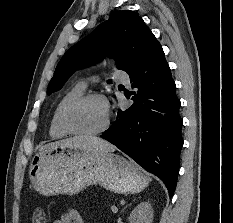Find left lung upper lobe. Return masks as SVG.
<instances>
[{
    "label": "left lung upper lobe",
    "instance_id": "1",
    "mask_svg": "<svg viewBox=\"0 0 233 223\" xmlns=\"http://www.w3.org/2000/svg\"><path fill=\"white\" fill-rule=\"evenodd\" d=\"M155 41V36L140 16L132 11L113 13L108 21L64 54L49 83L48 95L59 90L74 71L95 64L104 56L113 57L118 69L130 74Z\"/></svg>",
    "mask_w": 233,
    "mask_h": 223
}]
</instances>
